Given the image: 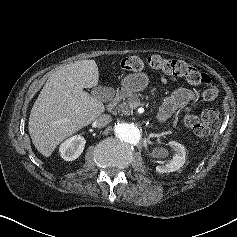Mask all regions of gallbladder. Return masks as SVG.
<instances>
[{"label": "gallbladder", "instance_id": "bac80fb5", "mask_svg": "<svg viewBox=\"0 0 237 237\" xmlns=\"http://www.w3.org/2000/svg\"><path fill=\"white\" fill-rule=\"evenodd\" d=\"M92 93L102 101H109L113 97V93L108 87H97Z\"/></svg>", "mask_w": 237, "mask_h": 237}]
</instances>
